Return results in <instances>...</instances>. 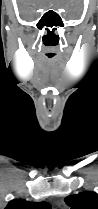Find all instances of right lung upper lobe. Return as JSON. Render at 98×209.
<instances>
[{
    "label": "right lung upper lobe",
    "mask_w": 98,
    "mask_h": 209,
    "mask_svg": "<svg viewBox=\"0 0 98 209\" xmlns=\"http://www.w3.org/2000/svg\"><path fill=\"white\" fill-rule=\"evenodd\" d=\"M5 209H51V205L46 202H29L23 199H15L8 203Z\"/></svg>",
    "instance_id": "right-lung-upper-lobe-1"
}]
</instances>
